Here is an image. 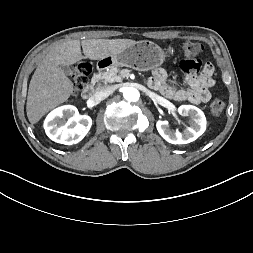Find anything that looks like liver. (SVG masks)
I'll return each mask as SVG.
<instances>
[{"instance_id":"liver-1","label":"liver","mask_w":253,"mask_h":253,"mask_svg":"<svg viewBox=\"0 0 253 253\" xmlns=\"http://www.w3.org/2000/svg\"><path fill=\"white\" fill-rule=\"evenodd\" d=\"M136 43L132 39L64 40L52 46L38 64L29 84L26 112L31 124L66 102L74 90L73 82L62 70L79 62L83 53L87 59L100 60L123 51Z\"/></svg>"}]
</instances>
